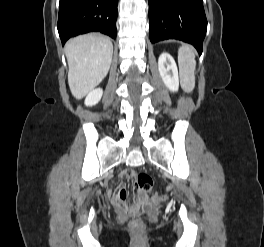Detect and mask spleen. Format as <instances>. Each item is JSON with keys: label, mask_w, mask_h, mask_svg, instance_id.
<instances>
[{"label": "spleen", "mask_w": 264, "mask_h": 247, "mask_svg": "<svg viewBox=\"0 0 264 247\" xmlns=\"http://www.w3.org/2000/svg\"><path fill=\"white\" fill-rule=\"evenodd\" d=\"M178 65L181 85L186 92L193 91L195 87V54L192 47L183 45L178 50Z\"/></svg>", "instance_id": "3e777b00"}]
</instances>
